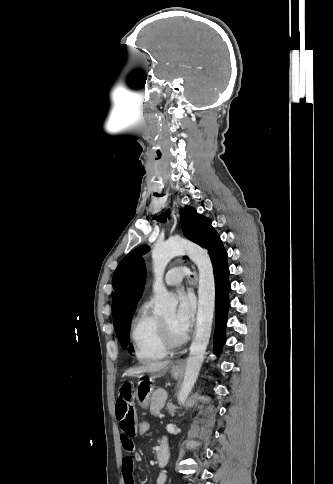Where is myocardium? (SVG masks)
I'll use <instances>...</instances> for the list:
<instances>
[{
	"instance_id": "myocardium-1",
	"label": "myocardium",
	"mask_w": 333,
	"mask_h": 484,
	"mask_svg": "<svg viewBox=\"0 0 333 484\" xmlns=\"http://www.w3.org/2000/svg\"><path fill=\"white\" fill-rule=\"evenodd\" d=\"M159 329L162 341L167 349L176 348L186 341L187 337L184 334L181 336H174L168 325L161 318L159 319Z\"/></svg>"
}]
</instances>
